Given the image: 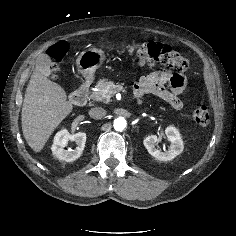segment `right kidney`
I'll return each mask as SVG.
<instances>
[{"instance_id": "right-kidney-1", "label": "right kidney", "mask_w": 236, "mask_h": 236, "mask_svg": "<svg viewBox=\"0 0 236 236\" xmlns=\"http://www.w3.org/2000/svg\"><path fill=\"white\" fill-rule=\"evenodd\" d=\"M69 141H75V149H65ZM86 134L79 132L71 135L66 129L59 131L54 137V143L51 147L53 155L61 161L71 162L78 159L85 147Z\"/></svg>"}]
</instances>
